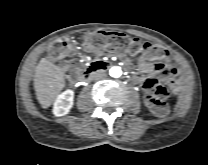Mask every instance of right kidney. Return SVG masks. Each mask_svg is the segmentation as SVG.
<instances>
[{
    "instance_id": "1",
    "label": "right kidney",
    "mask_w": 208,
    "mask_h": 165,
    "mask_svg": "<svg viewBox=\"0 0 208 165\" xmlns=\"http://www.w3.org/2000/svg\"><path fill=\"white\" fill-rule=\"evenodd\" d=\"M74 92L66 90L56 98L53 106V114L55 116H64L68 114L73 106Z\"/></svg>"
}]
</instances>
